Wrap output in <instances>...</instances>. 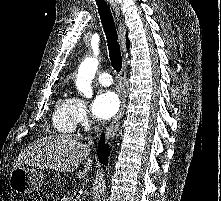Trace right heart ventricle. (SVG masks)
Instances as JSON below:
<instances>
[{
	"instance_id": "1",
	"label": "right heart ventricle",
	"mask_w": 221,
	"mask_h": 201,
	"mask_svg": "<svg viewBox=\"0 0 221 201\" xmlns=\"http://www.w3.org/2000/svg\"><path fill=\"white\" fill-rule=\"evenodd\" d=\"M53 124L56 130L62 134H71L76 128L73 116L72 99H60L54 110Z\"/></svg>"
}]
</instances>
